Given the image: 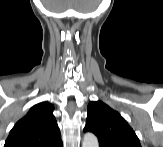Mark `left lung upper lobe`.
<instances>
[{
	"mask_svg": "<svg viewBox=\"0 0 163 147\" xmlns=\"http://www.w3.org/2000/svg\"><path fill=\"white\" fill-rule=\"evenodd\" d=\"M94 133L99 147H141L138 137L125 119L102 101L88 105L84 132Z\"/></svg>",
	"mask_w": 163,
	"mask_h": 147,
	"instance_id": "5c2ea615",
	"label": "left lung upper lobe"
}]
</instances>
